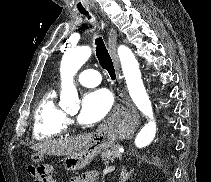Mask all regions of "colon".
Instances as JSON below:
<instances>
[{"label": "colon", "instance_id": "5ec220e1", "mask_svg": "<svg viewBox=\"0 0 211 182\" xmlns=\"http://www.w3.org/2000/svg\"><path fill=\"white\" fill-rule=\"evenodd\" d=\"M30 173L36 182H55L53 170L50 166L31 167Z\"/></svg>", "mask_w": 211, "mask_h": 182}]
</instances>
